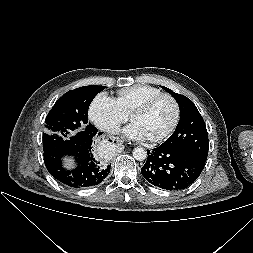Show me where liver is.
<instances>
[{"mask_svg":"<svg viewBox=\"0 0 253 253\" xmlns=\"http://www.w3.org/2000/svg\"><path fill=\"white\" fill-rule=\"evenodd\" d=\"M65 164L68 168L72 167L73 162L70 159H65Z\"/></svg>","mask_w":253,"mask_h":253,"instance_id":"6515ba94","label":"liver"}]
</instances>
